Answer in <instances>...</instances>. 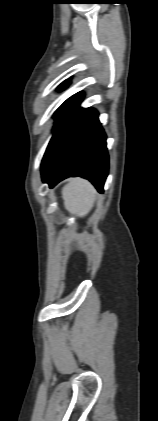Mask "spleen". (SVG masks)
Wrapping results in <instances>:
<instances>
[{
  "instance_id": "1",
  "label": "spleen",
  "mask_w": 158,
  "mask_h": 421,
  "mask_svg": "<svg viewBox=\"0 0 158 421\" xmlns=\"http://www.w3.org/2000/svg\"><path fill=\"white\" fill-rule=\"evenodd\" d=\"M64 207L80 217L85 216L92 209L95 201V190L92 185L80 178L72 179L62 189Z\"/></svg>"
}]
</instances>
